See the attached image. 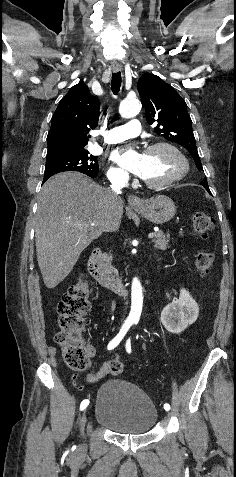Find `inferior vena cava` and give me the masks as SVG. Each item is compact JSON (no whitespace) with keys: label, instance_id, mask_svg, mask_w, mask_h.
Segmentation results:
<instances>
[{"label":"inferior vena cava","instance_id":"obj_1","mask_svg":"<svg viewBox=\"0 0 236 477\" xmlns=\"http://www.w3.org/2000/svg\"><path fill=\"white\" fill-rule=\"evenodd\" d=\"M126 184H127V181H125L123 178H115L112 180L111 189H112V204L113 205L111 206L109 211V218H108L107 224L113 230H116L118 228L114 204L119 199V194L122 193V188Z\"/></svg>","mask_w":236,"mask_h":477}]
</instances>
